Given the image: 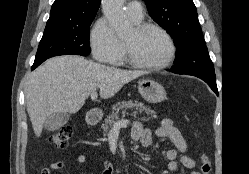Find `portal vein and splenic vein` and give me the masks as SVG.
I'll return each instance as SVG.
<instances>
[{"mask_svg": "<svg viewBox=\"0 0 249 174\" xmlns=\"http://www.w3.org/2000/svg\"><path fill=\"white\" fill-rule=\"evenodd\" d=\"M97 98V92H93L91 94V99L92 100H95ZM129 124V120L127 119H123V120H120V121H117V122H114L113 124V130H119L120 128L126 126Z\"/></svg>", "mask_w": 249, "mask_h": 174, "instance_id": "portal-vein-and-splenic-vein-1", "label": "portal vein and splenic vein"}]
</instances>
